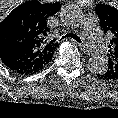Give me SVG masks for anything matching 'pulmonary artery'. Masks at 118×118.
Instances as JSON below:
<instances>
[{
	"label": "pulmonary artery",
	"instance_id": "1",
	"mask_svg": "<svg viewBox=\"0 0 118 118\" xmlns=\"http://www.w3.org/2000/svg\"><path fill=\"white\" fill-rule=\"evenodd\" d=\"M83 31L87 45L98 55L104 56L107 48L99 33L97 27V18L94 15H88L83 22Z\"/></svg>",
	"mask_w": 118,
	"mask_h": 118
}]
</instances>
